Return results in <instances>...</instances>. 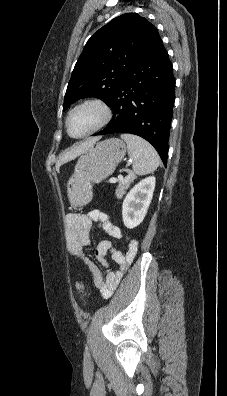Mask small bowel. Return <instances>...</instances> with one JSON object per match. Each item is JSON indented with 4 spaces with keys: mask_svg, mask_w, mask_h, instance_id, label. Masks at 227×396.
Returning <instances> with one entry per match:
<instances>
[{
    "mask_svg": "<svg viewBox=\"0 0 227 396\" xmlns=\"http://www.w3.org/2000/svg\"><path fill=\"white\" fill-rule=\"evenodd\" d=\"M94 223L114 239L123 237L121 230L109 220L106 213L100 210H92L87 214H70L67 216L66 246L73 255L82 259L92 275L95 286L103 297L108 298L116 290L124 272L134 259L139 243L135 239H130L127 250L121 253L113 247L111 241L102 240L95 250L98 261L104 267H108L107 256L110 254L119 265L116 271L107 270L105 276H103L99 268L82 255V248L90 243V232Z\"/></svg>",
    "mask_w": 227,
    "mask_h": 396,
    "instance_id": "obj_1",
    "label": "small bowel"
}]
</instances>
